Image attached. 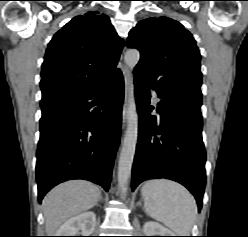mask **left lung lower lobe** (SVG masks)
<instances>
[{
	"label": "left lung lower lobe",
	"instance_id": "left-lung-lower-lobe-1",
	"mask_svg": "<svg viewBox=\"0 0 248 237\" xmlns=\"http://www.w3.org/2000/svg\"><path fill=\"white\" fill-rule=\"evenodd\" d=\"M140 115L138 143L132 168V190L148 179L166 178L184 185L202 206L206 154L202 142V101L182 96L160 98L152 116L149 85L135 79Z\"/></svg>",
	"mask_w": 248,
	"mask_h": 237
}]
</instances>
